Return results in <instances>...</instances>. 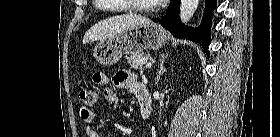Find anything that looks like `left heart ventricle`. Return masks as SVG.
Listing matches in <instances>:
<instances>
[{
  "instance_id": "1",
  "label": "left heart ventricle",
  "mask_w": 280,
  "mask_h": 137,
  "mask_svg": "<svg viewBox=\"0 0 280 137\" xmlns=\"http://www.w3.org/2000/svg\"><path fill=\"white\" fill-rule=\"evenodd\" d=\"M137 2H139L140 4L147 6L150 4H153V2L151 0H136Z\"/></svg>"
}]
</instances>
